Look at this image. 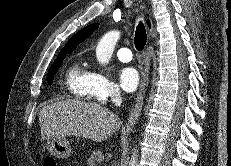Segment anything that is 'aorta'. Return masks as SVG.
<instances>
[{
    "instance_id": "aorta-1",
    "label": "aorta",
    "mask_w": 231,
    "mask_h": 166,
    "mask_svg": "<svg viewBox=\"0 0 231 166\" xmlns=\"http://www.w3.org/2000/svg\"><path fill=\"white\" fill-rule=\"evenodd\" d=\"M120 38L119 31H111L105 34L99 41L96 48V57L99 63L107 64L112 57L114 47ZM138 150L134 149L131 155L129 166H138Z\"/></svg>"
}]
</instances>
